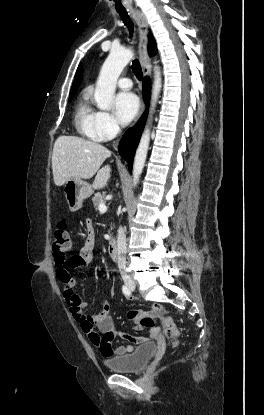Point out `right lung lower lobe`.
<instances>
[{
  "instance_id": "1",
  "label": "right lung lower lobe",
  "mask_w": 264,
  "mask_h": 415,
  "mask_svg": "<svg viewBox=\"0 0 264 415\" xmlns=\"http://www.w3.org/2000/svg\"><path fill=\"white\" fill-rule=\"evenodd\" d=\"M150 90L151 84L149 78H145L143 81V96L147 103L150 100ZM148 109L145 111L141 119L138 121L134 128H130L127 132L123 135L120 145H119V152L120 154L127 159L131 166L130 170L132 169V160L138 146L141 134L144 129V125L147 119Z\"/></svg>"
}]
</instances>
